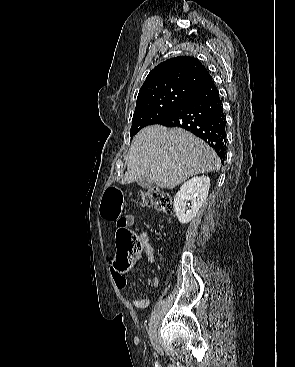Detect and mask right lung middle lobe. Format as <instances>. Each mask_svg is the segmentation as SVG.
<instances>
[{"mask_svg": "<svg viewBox=\"0 0 295 367\" xmlns=\"http://www.w3.org/2000/svg\"><path fill=\"white\" fill-rule=\"evenodd\" d=\"M193 92L185 88H172L137 100L132 118L130 136L142 128L157 124L179 107Z\"/></svg>", "mask_w": 295, "mask_h": 367, "instance_id": "1", "label": "right lung middle lobe"}]
</instances>
